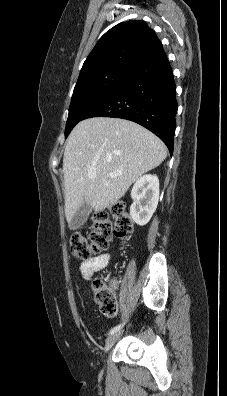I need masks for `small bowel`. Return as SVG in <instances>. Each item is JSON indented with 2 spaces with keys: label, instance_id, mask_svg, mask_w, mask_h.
<instances>
[{
  "label": "small bowel",
  "instance_id": "c3829d8e",
  "mask_svg": "<svg viewBox=\"0 0 227 396\" xmlns=\"http://www.w3.org/2000/svg\"><path fill=\"white\" fill-rule=\"evenodd\" d=\"M110 259L111 256L109 254H102L84 261L80 266L82 277L85 280H89L94 273L104 269L108 265ZM112 287L117 288V282H113Z\"/></svg>",
  "mask_w": 227,
  "mask_h": 396
}]
</instances>
